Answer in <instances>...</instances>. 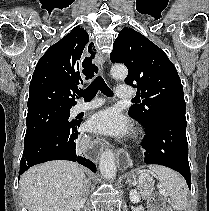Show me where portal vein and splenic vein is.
<instances>
[{"label":"portal vein and splenic vein","instance_id":"portal-vein-and-splenic-vein-1","mask_svg":"<svg viewBox=\"0 0 209 211\" xmlns=\"http://www.w3.org/2000/svg\"><path fill=\"white\" fill-rule=\"evenodd\" d=\"M135 184H136V182H135ZM159 188H160V193L165 194V190L162 189L161 187H159Z\"/></svg>","mask_w":209,"mask_h":211}]
</instances>
